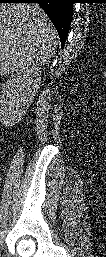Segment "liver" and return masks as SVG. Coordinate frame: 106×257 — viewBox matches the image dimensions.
<instances>
[{"instance_id": "liver-1", "label": "liver", "mask_w": 106, "mask_h": 257, "mask_svg": "<svg viewBox=\"0 0 106 257\" xmlns=\"http://www.w3.org/2000/svg\"><path fill=\"white\" fill-rule=\"evenodd\" d=\"M57 33L38 4L0 5V74L44 65L54 54Z\"/></svg>"}]
</instances>
